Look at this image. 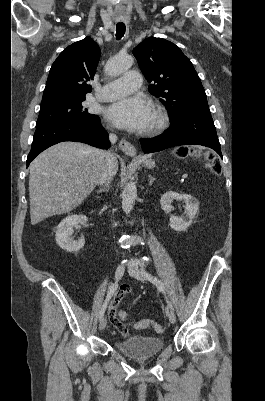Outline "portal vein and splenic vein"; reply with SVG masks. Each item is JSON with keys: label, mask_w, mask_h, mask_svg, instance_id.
<instances>
[{"label": "portal vein and splenic vein", "mask_w": 265, "mask_h": 401, "mask_svg": "<svg viewBox=\"0 0 265 401\" xmlns=\"http://www.w3.org/2000/svg\"><path fill=\"white\" fill-rule=\"evenodd\" d=\"M187 176H188V174H183V175H182V178H183V179H186Z\"/></svg>", "instance_id": "18ae733b"}]
</instances>
